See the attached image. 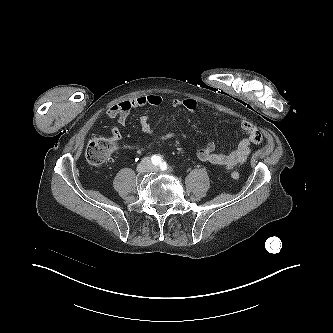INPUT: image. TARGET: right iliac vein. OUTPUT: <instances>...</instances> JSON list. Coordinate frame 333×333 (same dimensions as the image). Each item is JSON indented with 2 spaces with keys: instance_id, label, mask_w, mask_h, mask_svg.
<instances>
[{
  "instance_id": "1",
  "label": "right iliac vein",
  "mask_w": 333,
  "mask_h": 333,
  "mask_svg": "<svg viewBox=\"0 0 333 333\" xmlns=\"http://www.w3.org/2000/svg\"><path fill=\"white\" fill-rule=\"evenodd\" d=\"M150 169H151L150 161L148 159H144L138 164L136 170L138 173H145L146 171H148Z\"/></svg>"
}]
</instances>
